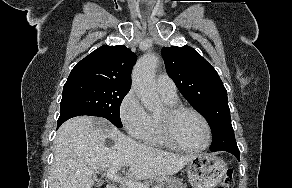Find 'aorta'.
<instances>
[{"label":"aorta","mask_w":292,"mask_h":188,"mask_svg":"<svg viewBox=\"0 0 292 188\" xmlns=\"http://www.w3.org/2000/svg\"><path fill=\"white\" fill-rule=\"evenodd\" d=\"M159 59L149 53L141 57L132 73V86L137 96L148 111L156 112L162 108V103L156 91L154 73Z\"/></svg>","instance_id":"aorta-1"}]
</instances>
